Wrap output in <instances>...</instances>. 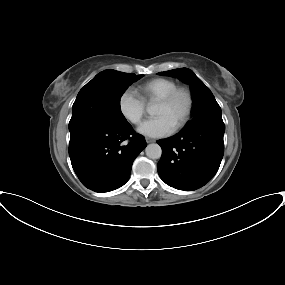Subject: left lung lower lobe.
<instances>
[{"mask_svg": "<svg viewBox=\"0 0 285 285\" xmlns=\"http://www.w3.org/2000/svg\"><path fill=\"white\" fill-rule=\"evenodd\" d=\"M224 131L223 121L206 120L157 141L162 148L157 164L160 178L184 191L204 186L219 169L224 153Z\"/></svg>", "mask_w": 285, "mask_h": 285, "instance_id": "obj_1", "label": "left lung lower lobe"}]
</instances>
